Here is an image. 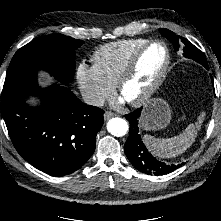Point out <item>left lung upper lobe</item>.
Segmentation results:
<instances>
[{"label": "left lung upper lobe", "mask_w": 221, "mask_h": 221, "mask_svg": "<svg viewBox=\"0 0 221 221\" xmlns=\"http://www.w3.org/2000/svg\"><path fill=\"white\" fill-rule=\"evenodd\" d=\"M159 31L164 37L173 43L176 51L179 50V48H182L183 55L186 58L193 59L202 64L204 67L208 68L204 54L192 43H190L185 38L176 35L174 32L168 29H159Z\"/></svg>", "instance_id": "1"}]
</instances>
